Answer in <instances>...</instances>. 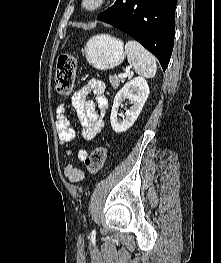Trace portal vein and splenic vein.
Returning <instances> with one entry per match:
<instances>
[{
    "mask_svg": "<svg viewBox=\"0 0 221 263\" xmlns=\"http://www.w3.org/2000/svg\"><path fill=\"white\" fill-rule=\"evenodd\" d=\"M128 73H119V78L123 79L125 77H127Z\"/></svg>",
    "mask_w": 221,
    "mask_h": 263,
    "instance_id": "1",
    "label": "portal vein and splenic vein"
}]
</instances>
